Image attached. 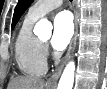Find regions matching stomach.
I'll return each mask as SVG.
<instances>
[{"instance_id":"0dacf381","label":"stomach","mask_w":107,"mask_h":89,"mask_svg":"<svg viewBox=\"0 0 107 89\" xmlns=\"http://www.w3.org/2000/svg\"><path fill=\"white\" fill-rule=\"evenodd\" d=\"M46 89H52V88H50V87H46Z\"/></svg>"}]
</instances>
